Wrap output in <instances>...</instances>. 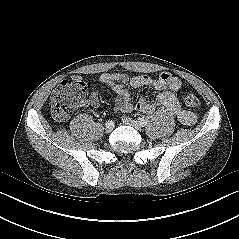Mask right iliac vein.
<instances>
[{
  "mask_svg": "<svg viewBox=\"0 0 239 239\" xmlns=\"http://www.w3.org/2000/svg\"><path fill=\"white\" fill-rule=\"evenodd\" d=\"M113 128H114V126H109V125H107V123H106V126H105V132L106 133H110L112 130H113Z\"/></svg>",
  "mask_w": 239,
  "mask_h": 239,
  "instance_id": "obj_1",
  "label": "right iliac vein"
}]
</instances>
